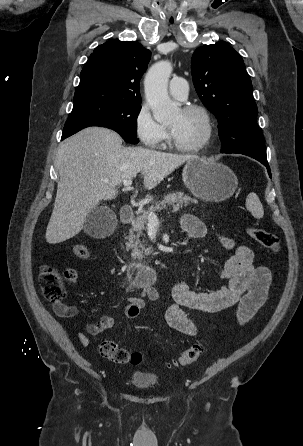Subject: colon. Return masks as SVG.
<instances>
[{
	"label": "colon",
	"instance_id": "1",
	"mask_svg": "<svg viewBox=\"0 0 303 446\" xmlns=\"http://www.w3.org/2000/svg\"><path fill=\"white\" fill-rule=\"evenodd\" d=\"M248 236L264 248L277 252L279 250V239L272 233L257 227L246 229ZM74 254L81 259L90 256L88 247L78 243L73 247ZM76 275L73 270L67 269L59 271L50 265H43L40 269V285L44 296L53 304L62 303L65 298V285L75 280ZM204 351L202 341L192 344L186 351L180 354L173 362V365H188L199 359ZM100 355L114 363L139 364L143 356L140 352H129L112 340H104L99 345Z\"/></svg>",
	"mask_w": 303,
	"mask_h": 446
}]
</instances>
